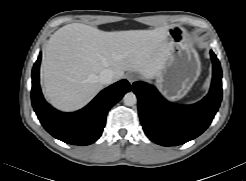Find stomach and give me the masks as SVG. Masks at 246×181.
I'll use <instances>...</instances> for the list:
<instances>
[{"mask_svg": "<svg viewBox=\"0 0 246 181\" xmlns=\"http://www.w3.org/2000/svg\"><path fill=\"white\" fill-rule=\"evenodd\" d=\"M169 53L163 68L155 76V83L171 101L183 98L198 79L201 72L199 56L193 45L186 40L181 27L167 30Z\"/></svg>", "mask_w": 246, "mask_h": 181, "instance_id": "1", "label": "stomach"}]
</instances>
